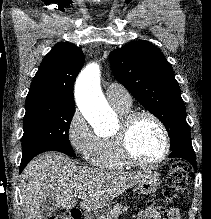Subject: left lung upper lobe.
Here are the masks:
<instances>
[{
  "label": "left lung upper lobe",
  "instance_id": "1",
  "mask_svg": "<svg viewBox=\"0 0 211 219\" xmlns=\"http://www.w3.org/2000/svg\"><path fill=\"white\" fill-rule=\"evenodd\" d=\"M115 78L165 126L172 150L191 139L186 110L170 63L148 41H136L109 56Z\"/></svg>",
  "mask_w": 211,
  "mask_h": 219
}]
</instances>
